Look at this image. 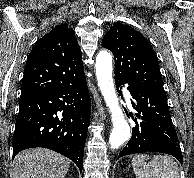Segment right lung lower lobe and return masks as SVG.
Segmentation results:
<instances>
[{
  "mask_svg": "<svg viewBox=\"0 0 194 178\" xmlns=\"http://www.w3.org/2000/svg\"><path fill=\"white\" fill-rule=\"evenodd\" d=\"M59 111L62 114L57 115ZM90 124V95L85 77L77 83L20 97L13 136V158L32 147L54 150L83 168Z\"/></svg>",
  "mask_w": 194,
  "mask_h": 178,
  "instance_id": "obj_1",
  "label": "right lung lower lobe"
}]
</instances>
